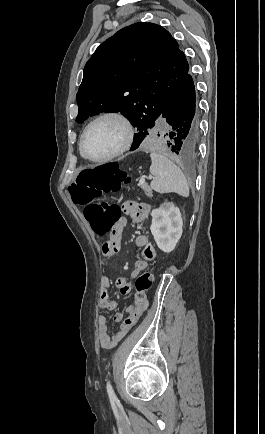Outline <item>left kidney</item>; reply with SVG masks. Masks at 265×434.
<instances>
[{
	"label": "left kidney",
	"instance_id": "obj_1",
	"mask_svg": "<svg viewBox=\"0 0 265 434\" xmlns=\"http://www.w3.org/2000/svg\"><path fill=\"white\" fill-rule=\"evenodd\" d=\"M151 234L162 252H173L182 236V218L179 208L165 202L161 208L152 210Z\"/></svg>",
	"mask_w": 265,
	"mask_h": 434
}]
</instances>
